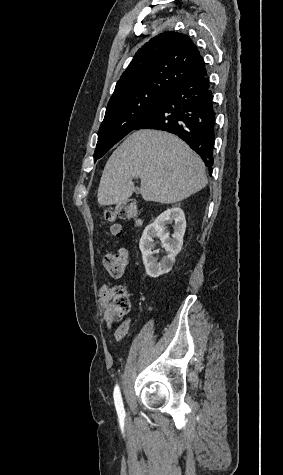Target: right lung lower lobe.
Masks as SVG:
<instances>
[{
  "mask_svg": "<svg viewBox=\"0 0 283 475\" xmlns=\"http://www.w3.org/2000/svg\"><path fill=\"white\" fill-rule=\"evenodd\" d=\"M208 74L174 87L134 128L163 130L177 135L212 173L216 112Z\"/></svg>",
  "mask_w": 283,
  "mask_h": 475,
  "instance_id": "98d812e1",
  "label": "right lung lower lobe"
}]
</instances>
